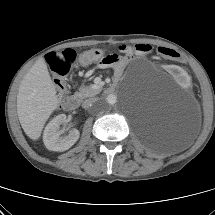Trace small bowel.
Returning a JSON list of instances; mask_svg holds the SVG:
<instances>
[{
	"label": "small bowel",
	"instance_id": "small-bowel-1",
	"mask_svg": "<svg viewBox=\"0 0 215 215\" xmlns=\"http://www.w3.org/2000/svg\"><path fill=\"white\" fill-rule=\"evenodd\" d=\"M123 56L109 55L101 59L99 67L107 68L112 67L116 75H120L125 68L126 64L135 56H149L153 52V48L147 44H137L134 47L123 45L121 46Z\"/></svg>",
	"mask_w": 215,
	"mask_h": 215
}]
</instances>
